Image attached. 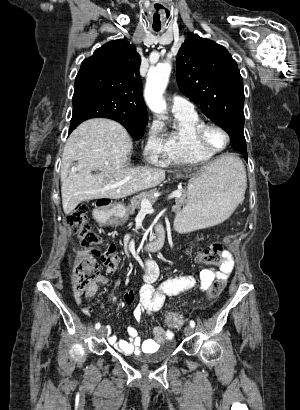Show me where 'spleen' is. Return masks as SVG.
Here are the masks:
<instances>
[{"instance_id":"spleen-1","label":"spleen","mask_w":300,"mask_h":410,"mask_svg":"<svg viewBox=\"0 0 300 410\" xmlns=\"http://www.w3.org/2000/svg\"><path fill=\"white\" fill-rule=\"evenodd\" d=\"M230 168H235L237 170V174L239 177V184L242 188V193H241V198L240 201L242 200L246 185H247V179H246V172H245V167L242 163V161L238 158L232 157L229 163Z\"/></svg>"}]
</instances>
